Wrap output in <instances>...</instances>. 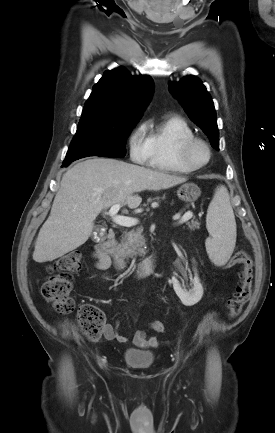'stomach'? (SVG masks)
Instances as JSON below:
<instances>
[{"label": "stomach", "mask_w": 275, "mask_h": 433, "mask_svg": "<svg viewBox=\"0 0 275 433\" xmlns=\"http://www.w3.org/2000/svg\"><path fill=\"white\" fill-rule=\"evenodd\" d=\"M201 195L200 188L194 183H185L177 190L179 199L185 202H194Z\"/></svg>", "instance_id": "0dacf381"}]
</instances>
